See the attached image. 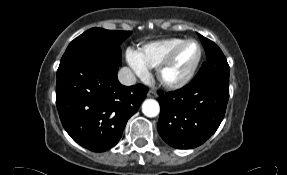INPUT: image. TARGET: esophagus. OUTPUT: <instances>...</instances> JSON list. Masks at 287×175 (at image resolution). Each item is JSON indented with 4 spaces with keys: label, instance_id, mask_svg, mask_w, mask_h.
<instances>
[{
    "label": "esophagus",
    "instance_id": "obj_1",
    "mask_svg": "<svg viewBox=\"0 0 287 175\" xmlns=\"http://www.w3.org/2000/svg\"><path fill=\"white\" fill-rule=\"evenodd\" d=\"M147 97L156 98V97H158V94L154 90H149L148 93H147Z\"/></svg>",
    "mask_w": 287,
    "mask_h": 175
}]
</instances>
